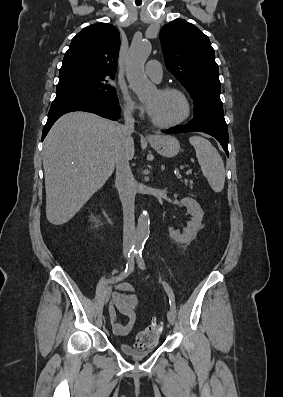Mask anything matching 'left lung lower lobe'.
I'll use <instances>...</instances> for the list:
<instances>
[{
  "label": "left lung lower lobe",
  "mask_w": 283,
  "mask_h": 397,
  "mask_svg": "<svg viewBox=\"0 0 283 397\" xmlns=\"http://www.w3.org/2000/svg\"><path fill=\"white\" fill-rule=\"evenodd\" d=\"M200 131L215 137L222 145L227 156L228 154V128L224 117L200 113L194 115L193 119L186 125L176 126L167 130H163V133H182V132H195Z\"/></svg>",
  "instance_id": "obj_1"
}]
</instances>
